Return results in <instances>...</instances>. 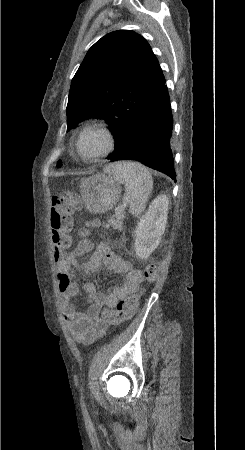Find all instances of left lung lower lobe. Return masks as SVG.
<instances>
[{
  "label": "left lung lower lobe",
  "mask_w": 245,
  "mask_h": 450,
  "mask_svg": "<svg viewBox=\"0 0 245 450\" xmlns=\"http://www.w3.org/2000/svg\"><path fill=\"white\" fill-rule=\"evenodd\" d=\"M172 131L173 116L168 88L164 82L141 112L124 148L112 153L107 159L136 160L176 181L171 149Z\"/></svg>",
  "instance_id": "0a47b994"
}]
</instances>
